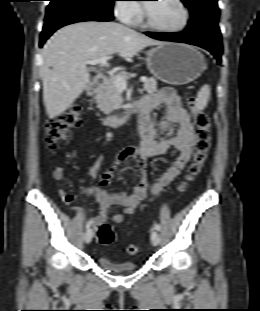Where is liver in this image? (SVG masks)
I'll list each match as a JSON object with an SVG mask.
<instances>
[{
    "label": "liver",
    "instance_id": "1",
    "mask_svg": "<svg viewBox=\"0 0 260 311\" xmlns=\"http://www.w3.org/2000/svg\"><path fill=\"white\" fill-rule=\"evenodd\" d=\"M162 44L115 22L85 21L59 29L44 46L40 69L48 117L62 115L89 88L87 61L115 53L130 59L145 47Z\"/></svg>",
    "mask_w": 260,
    "mask_h": 311
}]
</instances>
